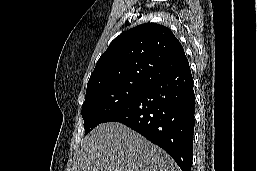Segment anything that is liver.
<instances>
[{
    "mask_svg": "<svg viewBox=\"0 0 257 171\" xmlns=\"http://www.w3.org/2000/svg\"><path fill=\"white\" fill-rule=\"evenodd\" d=\"M72 171H181L161 148L118 122L102 123L81 142Z\"/></svg>",
    "mask_w": 257,
    "mask_h": 171,
    "instance_id": "1",
    "label": "liver"
}]
</instances>
